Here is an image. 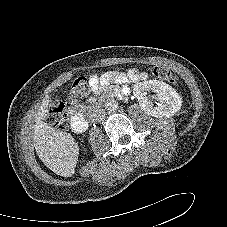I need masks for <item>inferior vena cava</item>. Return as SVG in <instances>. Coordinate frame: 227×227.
Wrapping results in <instances>:
<instances>
[{"mask_svg": "<svg viewBox=\"0 0 227 227\" xmlns=\"http://www.w3.org/2000/svg\"><path fill=\"white\" fill-rule=\"evenodd\" d=\"M106 112L104 109H94L90 114V119L92 122H100L105 118Z\"/></svg>", "mask_w": 227, "mask_h": 227, "instance_id": "602c4592", "label": "inferior vena cava"}]
</instances>
